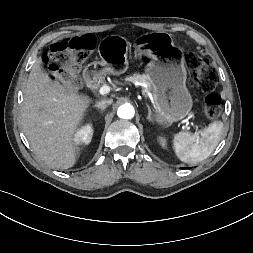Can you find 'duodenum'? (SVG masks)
Wrapping results in <instances>:
<instances>
[{"label":"duodenum","mask_w":253,"mask_h":253,"mask_svg":"<svg viewBox=\"0 0 253 253\" xmlns=\"http://www.w3.org/2000/svg\"><path fill=\"white\" fill-rule=\"evenodd\" d=\"M87 83L91 88H94L97 85V79L91 72L88 73Z\"/></svg>","instance_id":"duodenum-1"}]
</instances>
